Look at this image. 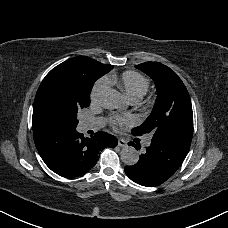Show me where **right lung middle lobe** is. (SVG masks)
<instances>
[{"mask_svg":"<svg viewBox=\"0 0 228 228\" xmlns=\"http://www.w3.org/2000/svg\"><path fill=\"white\" fill-rule=\"evenodd\" d=\"M112 68L86 83L69 81L49 72L36 93L32 126L41 131L75 129L78 110L90 105L94 82Z\"/></svg>","mask_w":228,"mask_h":228,"instance_id":"right-lung-middle-lobe-1","label":"right lung middle lobe"}]
</instances>
